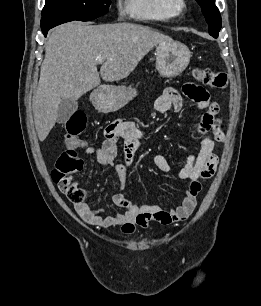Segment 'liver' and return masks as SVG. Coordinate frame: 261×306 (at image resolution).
I'll list each match as a JSON object with an SVG mask.
<instances>
[{
	"label": "liver",
	"mask_w": 261,
	"mask_h": 306,
	"mask_svg": "<svg viewBox=\"0 0 261 306\" xmlns=\"http://www.w3.org/2000/svg\"><path fill=\"white\" fill-rule=\"evenodd\" d=\"M172 39L149 27L131 23L89 25L69 22L56 27L45 44L32 108L37 135L44 141L54 127L65 98L77 100L106 82L124 79L159 43ZM97 57L104 58L97 71Z\"/></svg>",
	"instance_id": "obj_1"
}]
</instances>
